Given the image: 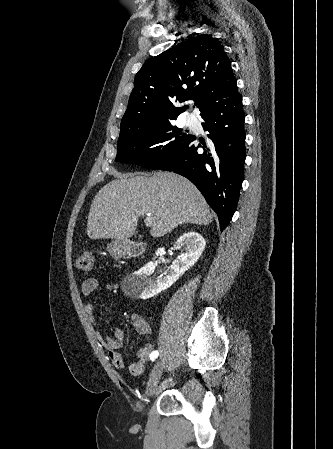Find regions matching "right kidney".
Instances as JSON below:
<instances>
[{
	"label": "right kidney",
	"mask_w": 333,
	"mask_h": 449,
	"mask_svg": "<svg viewBox=\"0 0 333 449\" xmlns=\"http://www.w3.org/2000/svg\"><path fill=\"white\" fill-rule=\"evenodd\" d=\"M205 240L197 232H187L181 236L175 246L184 247L185 252L174 260L167 274L158 276L155 280L148 276L154 272L156 263L149 262L135 273V282L137 284V295L141 299H149L172 286L186 271H188L200 258L204 248ZM165 254L164 248L156 251L157 256Z\"/></svg>",
	"instance_id": "ca27d5eb"
}]
</instances>
